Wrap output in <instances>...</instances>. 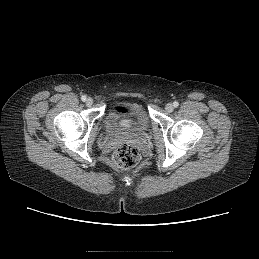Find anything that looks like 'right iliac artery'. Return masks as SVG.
<instances>
[{
	"label": "right iliac artery",
	"instance_id": "1",
	"mask_svg": "<svg viewBox=\"0 0 259 259\" xmlns=\"http://www.w3.org/2000/svg\"><path fill=\"white\" fill-rule=\"evenodd\" d=\"M86 99H87V97H86L85 95H83V96L81 97V100H82V101H86Z\"/></svg>",
	"mask_w": 259,
	"mask_h": 259
}]
</instances>
